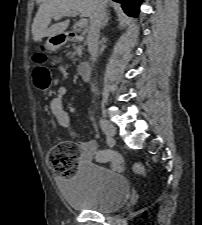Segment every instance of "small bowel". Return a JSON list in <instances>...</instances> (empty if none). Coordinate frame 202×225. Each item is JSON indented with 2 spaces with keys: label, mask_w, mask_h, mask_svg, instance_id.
Returning <instances> with one entry per match:
<instances>
[{
  "label": "small bowel",
  "mask_w": 202,
  "mask_h": 225,
  "mask_svg": "<svg viewBox=\"0 0 202 225\" xmlns=\"http://www.w3.org/2000/svg\"><path fill=\"white\" fill-rule=\"evenodd\" d=\"M33 62H36L35 57L32 58ZM67 88L65 86H60L57 90L55 96L49 102V108L51 113L56 119L57 124L68 130L71 133V136L74 138L78 137V134L73 129L71 125V118L69 113L64 109L63 105V96L66 94ZM79 147L81 149L80 153V163H85L89 161H95L98 163H106L104 161V154L108 153L97 151L96 149V142L92 139H82L79 140Z\"/></svg>",
  "instance_id": "obj_1"
}]
</instances>
